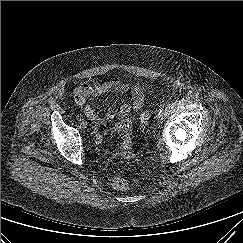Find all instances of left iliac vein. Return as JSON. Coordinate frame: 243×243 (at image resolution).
<instances>
[{
	"label": "left iliac vein",
	"instance_id": "4c4485c4",
	"mask_svg": "<svg viewBox=\"0 0 243 243\" xmlns=\"http://www.w3.org/2000/svg\"><path fill=\"white\" fill-rule=\"evenodd\" d=\"M156 121L159 123L161 121V116H159L158 114L155 116Z\"/></svg>",
	"mask_w": 243,
	"mask_h": 243
}]
</instances>
